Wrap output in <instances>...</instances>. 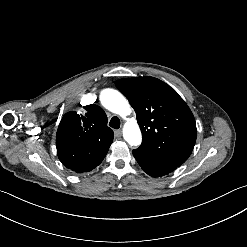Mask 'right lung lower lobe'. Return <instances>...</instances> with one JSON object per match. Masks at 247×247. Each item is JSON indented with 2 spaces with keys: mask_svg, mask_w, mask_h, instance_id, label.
<instances>
[{
  "mask_svg": "<svg viewBox=\"0 0 247 247\" xmlns=\"http://www.w3.org/2000/svg\"><path fill=\"white\" fill-rule=\"evenodd\" d=\"M93 170V169H92ZM91 171V170H90ZM83 172H88V171H83ZM78 173H82V172H78Z\"/></svg>",
  "mask_w": 247,
  "mask_h": 247,
  "instance_id": "obj_1",
  "label": "right lung lower lobe"
}]
</instances>
